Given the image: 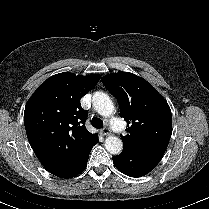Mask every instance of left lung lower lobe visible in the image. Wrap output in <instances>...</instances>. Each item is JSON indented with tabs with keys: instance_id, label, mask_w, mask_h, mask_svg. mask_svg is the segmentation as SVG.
Instances as JSON below:
<instances>
[{
	"instance_id": "left-lung-lower-lobe-1",
	"label": "left lung lower lobe",
	"mask_w": 209,
	"mask_h": 209,
	"mask_svg": "<svg viewBox=\"0 0 209 209\" xmlns=\"http://www.w3.org/2000/svg\"><path fill=\"white\" fill-rule=\"evenodd\" d=\"M112 160L120 172L131 177H141L153 170L161 157L123 149V152L112 157Z\"/></svg>"
}]
</instances>
